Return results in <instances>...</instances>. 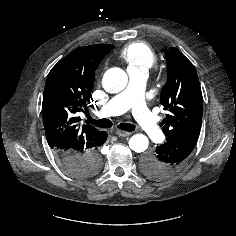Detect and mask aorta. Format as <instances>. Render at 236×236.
<instances>
[{"label":"aorta","mask_w":236,"mask_h":236,"mask_svg":"<svg viewBox=\"0 0 236 236\" xmlns=\"http://www.w3.org/2000/svg\"><path fill=\"white\" fill-rule=\"evenodd\" d=\"M128 76L118 67L108 69L102 79L103 88L109 93H119L127 85ZM149 145V140L144 134H135L129 139V147L137 153L144 152Z\"/></svg>","instance_id":"aorta-1"}]
</instances>
